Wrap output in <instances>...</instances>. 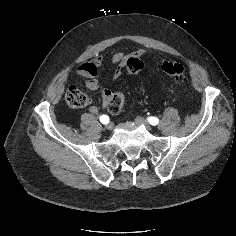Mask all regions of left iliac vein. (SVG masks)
<instances>
[{
	"label": "left iliac vein",
	"mask_w": 236,
	"mask_h": 236,
	"mask_svg": "<svg viewBox=\"0 0 236 236\" xmlns=\"http://www.w3.org/2000/svg\"><path fill=\"white\" fill-rule=\"evenodd\" d=\"M136 121L146 127L147 130H151L149 123L143 118H136Z\"/></svg>",
	"instance_id": "4c4485c4"
}]
</instances>
